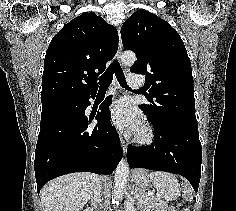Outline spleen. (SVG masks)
I'll return each mask as SVG.
<instances>
[{"label":"spleen","instance_id":"obj_1","mask_svg":"<svg viewBox=\"0 0 236 211\" xmlns=\"http://www.w3.org/2000/svg\"><path fill=\"white\" fill-rule=\"evenodd\" d=\"M149 179L165 200H176L179 198V182L174 174L168 172H151Z\"/></svg>","mask_w":236,"mask_h":211}]
</instances>
